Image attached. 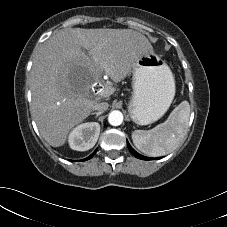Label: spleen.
<instances>
[{
    "instance_id": "spleen-1",
    "label": "spleen",
    "mask_w": 227,
    "mask_h": 227,
    "mask_svg": "<svg viewBox=\"0 0 227 227\" xmlns=\"http://www.w3.org/2000/svg\"><path fill=\"white\" fill-rule=\"evenodd\" d=\"M189 117L190 105L183 101L170 113L164 123L148 131L135 130L132 133L135 147L152 157L170 153L183 141L188 130Z\"/></svg>"
}]
</instances>
